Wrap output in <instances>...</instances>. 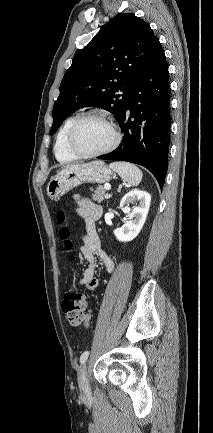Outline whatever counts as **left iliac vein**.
Returning <instances> with one entry per match:
<instances>
[{"label": "left iliac vein", "mask_w": 213, "mask_h": 433, "mask_svg": "<svg viewBox=\"0 0 213 433\" xmlns=\"http://www.w3.org/2000/svg\"><path fill=\"white\" fill-rule=\"evenodd\" d=\"M78 383L80 388V394L83 398L90 395V386L88 382L87 367L83 365L78 373Z\"/></svg>", "instance_id": "4c4485c4"}]
</instances>
